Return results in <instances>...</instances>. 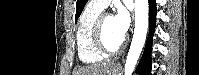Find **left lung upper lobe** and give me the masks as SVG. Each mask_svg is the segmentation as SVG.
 <instances>
[{
	"label": "left lung upper lobe",
	"mask_w": 199,
	"mask_h": 75,
	"mask_svg": "<svg viewBox=\"0 0 199 75\" xmlns=\"http://www.w3.org/2000/svg\"><path fill=\"white\" fill-rule=\"evenodd\" d=\"M88 0H77L76 3V14H75V22H77V19L79 18L85 4Z\"/></svg>",
	"instance_id": "left-lung-upper-lobe-1"
}]
</instances>
